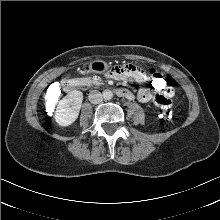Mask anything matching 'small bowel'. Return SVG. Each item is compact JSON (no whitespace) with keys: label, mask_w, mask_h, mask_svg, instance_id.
Here are the masks:
<instances>
[{"label":"small bowel","mask_w":220,"mask_h":220,"mask_svg":"<svg viewBox=\"0 0 220 220\" xmlns=\"http://www.w3.org/2000/svg\"><path fill=\"white\" fill-rule=\"evenodd\" d=\"M127 73L130 74L127 75ZM105 77L108 80H124L127 78H132L138 83H145L147 81L145 73L139 68L138 63L136 62H124L118 65L109 66L106 69ZM128 92L129 96L127 99H134V94L130 91ZM156 96H163L171 99L174 96V89L169 85L165 91L156 93L154 97H152L150 89L148 87H142L139 89L136 98L138 99V101L146 103L149 102L152 98L155 102Z\"/></svg>","instance_id":"1"}]
</instances>
